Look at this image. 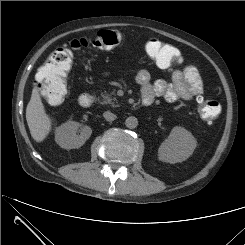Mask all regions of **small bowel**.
Listing matches in <instances>:
<instances>
[{
	"label": "small bowel",
	"mask_w": 245,
	"mask_h": 245,
	"mask_svg": "<svg viewBox=\"0 0 245 245\" xmlns=\"http://www.w3.org/2000/svg\"><path fill=\"white\" fill-rule=\"evenodd\" d=\"M136 81L141 88L142 100H149L150 104L156 98H163L170 103L202 98V79L197 68L192 65L173 70L171 82L164 80L152 82L150 73L145 69L137 73Z\"/></svg>",
	"instance_id": "c3829d8e"
}]
</instances>
